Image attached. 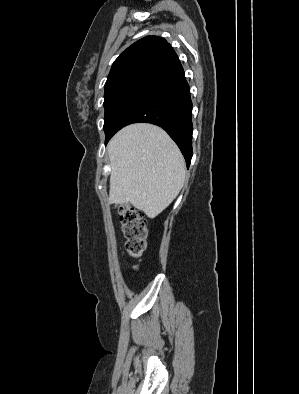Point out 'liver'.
I'll return each mask as SVG.
<instances>
[{
  "mask_svg": "<svg viewBox=\"0 0 299 394\" xmlns=\"http://www.w3.org/2000/svg\"><path fill=\"white\" fill-rule=\"evenodd\" d=\"M109 203H131L155 218L177 197L185 181L184 158L160 127L131 124L110 140Z\"/></svg>",
  "mask_w": 299,
  "mask_h": 394,
  "instance_id": "liver-1",
  "label": "liver"
}]
</instances>
